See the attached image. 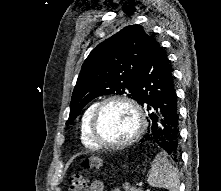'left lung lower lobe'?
I'll return each instance as SVG.
<instances>
[{"instance_id":"0a47b994","label":"left lung lower lobe","mask_w":221,"mask_h":191,"mask_svg":"<svg viewBox=\"0 0 221 191\" xmlns=\"http://www.w3.org/2000/svg\"><path fill=\"white\" fill-rule=\"evenodd\" d=\"M137 102L147 104L148 130L141 142H149L178 157L179 114L174 76L158 42H150L137 83Z\"/></svg>"}]
</instances>
